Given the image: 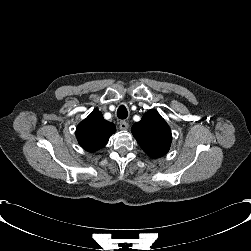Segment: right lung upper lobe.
Segmentation results:
<instances>
[{
	"label": "right lung upper lobe",
	"instance_id": "obj_1",
	"mask_svg": "<svg viewBox=\"0 0 251 251\" xmlns=\"http://www.w3.org/2000/svg\"><path fill=\"white\" fill-rule=\"evenodd\" d=\"M115 131V125L105 120L102 113L95 109L79 123L76 129V137L83 149L88 152H95L106 145Z\"/></svg>",
	"mask_w": 251,
	"mask_h": 251
}]
</instances>
